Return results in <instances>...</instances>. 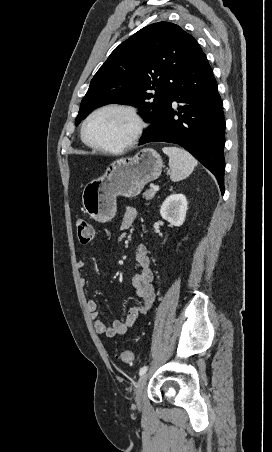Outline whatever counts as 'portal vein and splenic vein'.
I'll return each instance as SVG.
<instances>
[{"label":"portal vein and splenic vein","mask_w":272,"mask_h":452,"mask_svg":"<svg viewBox=\"0 0 272 452\" xmlns=\"http://www.w3.org/2000/svg\"><path fill=\"white\" fill-rule=\"evenodd\" d=\"M153 189H154V191H158V190H159V186L155 185V186L153 187Z\"/></svg>","instance_id":"18ae733b"}]
</instances>
